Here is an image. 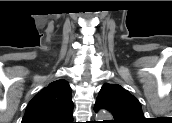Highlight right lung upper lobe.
Returning a JSON list of instances; mask_svg holds the SVG:
<instances>
[{
	"mask_svg": "<svg viewBox=\"0 0 172 123\" xmlns=\"http://www.w3.org/2000/svg\"><path fill=\"white\" fill-rule=\"evenodd\" d=\"M71 88L66 80L50 83L27 105L22 123H73Z\"/></svg>",
	"mask_w": 172,
	"mask_h": 123,
	"instance_id": "1",
	"label": "right lung upper lobe"
}]
</instances>
